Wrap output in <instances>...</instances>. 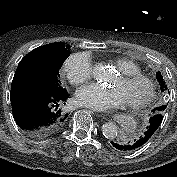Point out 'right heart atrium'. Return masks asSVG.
<instances>
[{
  "label": "right heart atrium",
  "mask_w": 177,
  "mask_h": 177,
  "mask_svg": "<svg viewBox=\"0 0 177 177\" xmlns=\"http://www.w3.org/2000/svg\"><path fill=\"white\" fill-rule=\"evenodd\" d=\"M63 71L67 79L74 85H79L92 76V63L86 53H76L69 56L64 64Z\"/></svg>",
  "instance_id": "d8ad5b80"
}]
</instances>
